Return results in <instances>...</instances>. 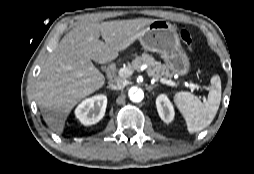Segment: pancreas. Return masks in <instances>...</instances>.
I'll return each instance as SVG.
<instances>
[{
	"label": "pancreas",
	"instance_id": "pancreas-1",
	"mask_svg": "<svg viewBox=\"0 0 254 174\" xmlns=\"http://www.w3.org/2000/svg\"><path fill=\"white\" fill-rule=\"evenodd\" d=\"M144 64L148 65L146 72L150 77L155 79H171L173 77V73L170 72L165 65L156 61L152 55L147 53L136 56L129 68L132 70H139Z\"/></svg>",
	"mask_w": 254,
	"mask_h": 174
}]
</instances>
